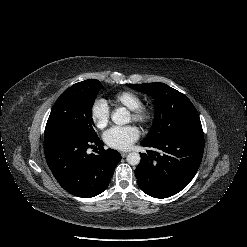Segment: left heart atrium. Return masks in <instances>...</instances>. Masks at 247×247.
<instances>
[{
	"instance_id": "left-heart-atrium-1",
	"label": "left heart atrium",
	"mask_w": 247,
	"mask_h": 247,
	"mask_svg": "<svg viewBox=\"0 0 247 247\" xmlns=\"http://www.w3.org/2000/svg\"><path fill=\"white\" fill-rule=\"evenodd\" d=\"M139 138V132L136 127L114 126L104 133L106 144L114 149L126 150Z\"/></svg>"
}]
</instances>
